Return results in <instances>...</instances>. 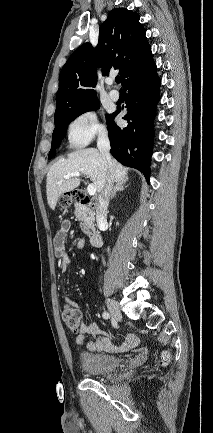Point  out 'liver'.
I'll list each match as a JSON object with an SVG mask.
<instances>
[{
    "mask_svg": "<svg viewBox=\"0 0 213 433\" xmlns=\"http://www.w3.org/2000/svg\"><path fill=\"white\" fill-rule=\"evenodd\" d=\"M72 172L87 175L98 192H102L108 177H112L113 182L117 183L128 180L127 168L115 159H111L109 165L100 151L95 148L76 150L67 158L59 159L47 173L46 194L51 209H55L62 194L80 185L81 180L78 177L64 178L65 175Z\"/></svg>",
    "mask_w": 213,
    "mask_h": 433,
    "instance_id": "obj_1",
    "label": "liver"
}]
</instances>
